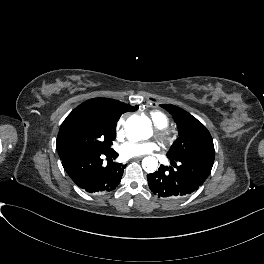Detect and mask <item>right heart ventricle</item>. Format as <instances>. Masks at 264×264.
<instances>
[{"mask_svg": "<svg viewBox=\"0 0 264 264\" xmlns=\"http://www.w3.org/2000/svg\"><path fill=\"white\" fill-rule=\"evenodd\" d=\"M152 118H153L154 122L156 123V125L167 126V124H168L167 117L160 112L152 113Z\"/></svg>", "mask_w": 264, "mask_h": 264, "instance_id": "e07e8e85", "label": "right heart ventricle"}]
</instances>
